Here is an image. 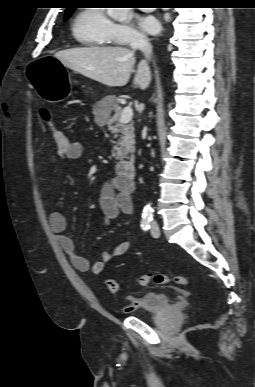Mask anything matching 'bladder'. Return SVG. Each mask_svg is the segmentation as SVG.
<instances>
[{
  "mask_svg": "<svg viewBox=\"0 0 255 387\" xmlns=\"http://www.w3.org/2000/svg\"><path fill=\"white\" fill-rule=\"evenodd\" d=\"M172 303L168 294L163 292H148L139 298V304L126 313L135 316L154 315L163 310L171 308Z\"/></svg>",
  "mask_w": 255,
  "mask_h": 387,
  "instance_id": "1",
  "label": "bladder"
}]
</instances>
